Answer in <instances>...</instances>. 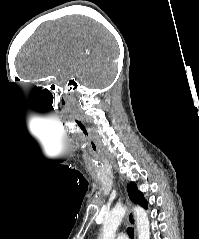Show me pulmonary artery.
<instances>
[{
  "instance_id": "pulmonary-artery-1",
  "label": "pulmonary artery",
  "mask_w": 199,
  "mask_h": 239,
  "mask_svg": "<svg viewBox=\"0 0 199 239\" xmlns=\"http://www.w3.org/2000/svg\"><path fill=\"white\" fill-rule=\"evenodd\" d=\"M116 239H128V237L125 234L121 233L116 236Z\"/></svg>"
}]
</instances>
